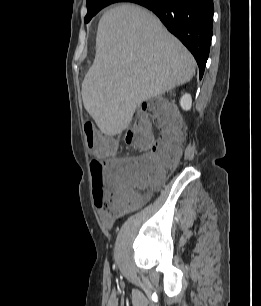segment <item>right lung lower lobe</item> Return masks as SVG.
Returning <instances> with one entry per match:
<instances>
[{
	"mask_svg": "<svg viewBox=\"0 0 261 306\" xmlns=\"http://www.w3.org/2000/svg\"><path fill=\"white\" fill-rule=\"evenodd\" d=\"M153 11L193 54L202 78L213 26V0H133Z\"/></svg>",
	"mask_w": 261,
	"mask_h": 306,
	"instance_id": "right-lung-lower-lobe-1",
	"label": "right lung lower lobe"
}]
</instances>
